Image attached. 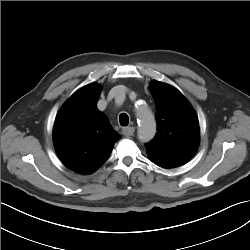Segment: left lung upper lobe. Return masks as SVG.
Returning <instances> with one entry per match:
<instances>
[{
	"mask_svg": "<svg viewBox=\"0 0 250 250\" xmlns=\"http://www.w3.org/2000/svg\"><path fill=\"white\" fill-rule=\"evenodd\" d=\"M156 106L157 134L145 145L147 155L188 161L199 144V123L186 98L163 82L150 84Z\"/></svg>",
	"mask_w": 250,
	"mask_h": 250,
	"instance_id": "left-lung-upper-lobe-1",
	"label": "left lung upper lobe"
}]
</instances>
